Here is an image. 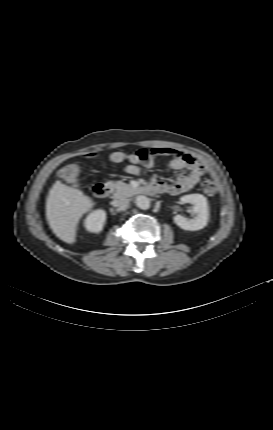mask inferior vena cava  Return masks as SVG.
I'll return each instance as SVG.
<instances>
[{
  "label": "inferior vena cava",
  "mask_w": 273,
  "mask_h": 430,
  "mask_svg": "<svg viewBox=\"0 0 273 430\" xmlns=\"http://www.w3.org/2000/svg\"><path fill=\"white\" fill-rule=\"evenodd\" d=\"M129 203L130 201L128 198H120L119 200L116 201V205L121 209L127 208Z\"/></svg>",
  "instance_id": "602c4592"
}]
</instances>
